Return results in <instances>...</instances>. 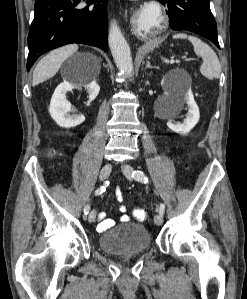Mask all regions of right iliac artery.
<instances>
[{
  "label": "right iliac artery",
  "mask_w": 247,
  "mask_h": 299,
  "mask_svg": "<svg viewBox=\"0 0 247 299\" xmlns=\"http://www.w3.org/2000/svg\"><path fill=\"white\" fill-rule=\"evenodd\" d=\"M105 191V185L101 186L100 188H98L96 191H95V195H100L102 194L103 192ZM90 211V206L87 204L85 207H84V214L87 215Z\"/></svg>",
  "instance_id": "1"
}]
</instances>
